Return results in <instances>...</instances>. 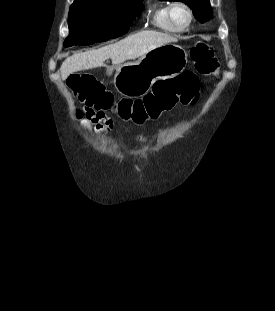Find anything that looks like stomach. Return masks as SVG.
<instances>
[{
    "label": "stomach",
    "mask_w": 275,
    "mask_h": 311,
    "mask_svg": "<svg viewBox=\"0 0 275 311\" xmlns=\"http://www.w3.org/2000/svg\"><path fill=\"white\" fill-rule=\"evenodd\" d=\"M187 53L179 45L168 43L158 46L137 61L117 65L108 70L115 71V89L126 97H140L149 91L156 79L178 76L187 65Z\"/></svg>",
    "instance_id": "0dacf381"
}]
</instances>
